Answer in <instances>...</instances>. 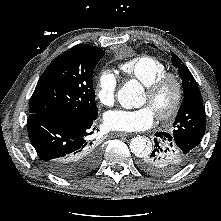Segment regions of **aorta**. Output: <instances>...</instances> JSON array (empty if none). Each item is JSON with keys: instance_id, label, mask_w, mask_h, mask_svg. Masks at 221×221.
Listing matches in <instances>:
<instances>
[{"instance_id": "762f6f07", "label": "aorta", "mask_w": 221, "mask_h": 221, "mask_svg": "<svg viewBox=\"0 0 221 221\" xmlns=\"http://www.w3.org/2000/svg\"><path fill=\"white\" fill-rule=\"evenodd\" d=\"M143 93L142 85L135 80L128 81L118 91L119 103L127 109L140 105L139 98ZM131 152L141 157L152 150V144L143 136L133 137L130 141Z\"/></svg>"}]
</instances>
